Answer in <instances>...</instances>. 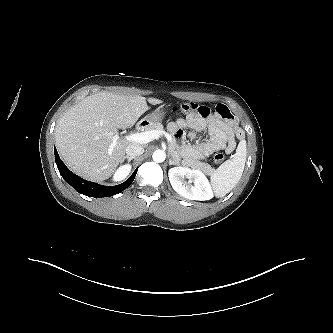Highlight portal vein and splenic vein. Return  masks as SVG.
I'll return each mask as SVG.
<instances>
[{
	"label": "portal vein and splenic vein",
	"instance_id": "18ae733b",
	"mask_svg": "<svg viewBox=\"0 0 333 333\" xmlns=\"http://www.w3.org/2000/svg\"><path fill=\"white\" fill-rule=\"evenodd\" d=\"M163 134L166 136L168 141L172 140L171 136L168 133H165V132L159 131V130H151V131H145V132H141V133L129 134V135L125 136L124 139L129 142L146 144L155 139H158ZM108 136L112 137V139H113V142L110 146L111 149H113L116 146L117 140H119L121 137L119 135H113V136L108 135Z\"/></svg>",
	"mask_w": 333,
	"mask_h": 333
}]
</instances>
